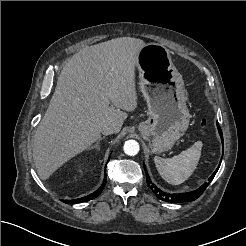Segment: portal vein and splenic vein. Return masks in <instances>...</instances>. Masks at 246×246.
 <instances>
[{"mask_svg":"<svg viewBox=\"0 0 246 246\" xmlns=\"http://www.w3.org/2000/svg\"><path fill=\"white\" fill-rule=\"evenodd\" d=\"M111 75H112V73L109 72V73H108V76H111Z\"/></svg>","mask_w":246,"mask_h":246,"instance_id":"18ae733b","label":"portal vein and splenic vein"}]
</instances>
